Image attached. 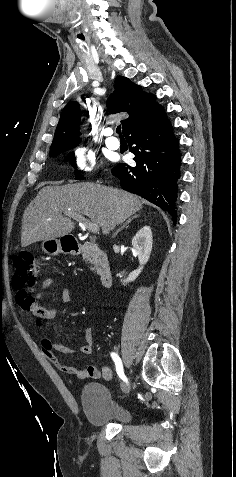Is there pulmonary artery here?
Segmentation results:
<instances>
[{
	"label": "pulmonary artery",
	"instance_id": "1",
	"mask_svg": "<svg viewBox=\"0 0 236 477\" xmlns=\"http://www.w3.org/2000/svg\"><path fill=\"white\" fill-rule=\"evenodd\" d=\"M112 129L111 128H107L104 130V135H106V139H105V144L110 148V149H118L119 146H120V143L118 141V139L114 136H111L112 135Z\"/></svg>",
	"mask_w": 236,
	"mask_h": 477
}]
</instances>
